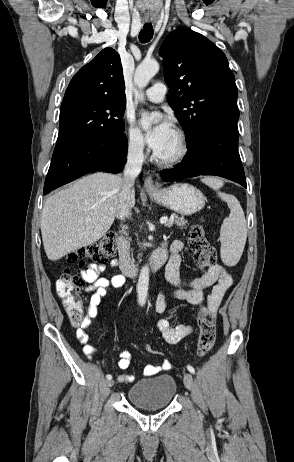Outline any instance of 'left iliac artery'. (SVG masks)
<instances>
[{
  "label": "left iliac artery",
  "mask_w": 294,
  "mask_h": 462,
  "mask_svg": "<svg viewBox=\"0 0 294 462\" xmlns=\"http://www.w3.org/2000/svg\"><path fill=\"white\" fill-rule=\"evenodd\" d=\"M187 369L190 373L195 374V369L191 365H188Z\"/></svg>",
  "instance_id": "left-iliac-artery-1"
}]
</instances>
